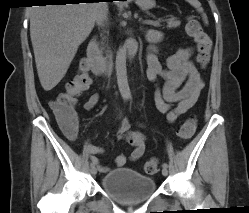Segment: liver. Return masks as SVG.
Returning a JSON list of instances; mask_svg holds the SVG:
<instances>
[{
    "instance_id": "6515ba94",
    "label": "liver",
    "mask_w": 249,
    "mask_h": 213,
    "mask_svg": "<svg viewBox=\"0 0 249 213\" xmlns=\"http://www.w3.org/2000/svg\"><path fill=\"white\" fill-rule=\"evenodd\" d=\"M105 2L33 6L30 37L40 83L52 90L65 76L80 44L91 33Z\"/></svg>"
}]
</instances>
